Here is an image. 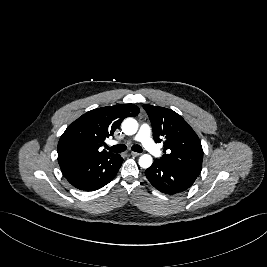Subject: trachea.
<instances>
[{
  "label": "trachea",
  "mask_w": 267,
  "mask_h": 267,
  "mask_svg": "<svg viewBox=\"0 0 267 267\" xmlns=\"http://www.w3.org/2000/svg\"><path fill=\"white\" fill-rule=\"evenodd\" d=\"M106 148L108 150L114 152V153L124 152L127 149L126 145H124V144H118V145H114L112 147L106 146ZM131 149H132V151H135V152H138V153L142 152V147L139 146V145H133Z\"/></svg>",
  "instance_id": "3493384b"
}]
</instances>
